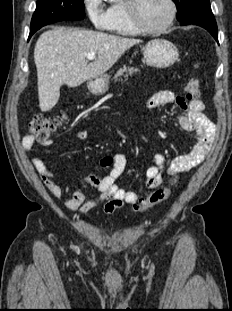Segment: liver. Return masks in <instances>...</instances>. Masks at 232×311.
Wrapping results in <instances>:
<instances>
[{
  "instance_id": "1",
  "label": "liver",
  "mask_w": 232,
  "mask_h": 311,
  "mask_svg": "<svg viewBox=\"0 0 232 311\" xmlns=\"http://www.w3.org/2000/svg\"><path fill=\"white\" fill-rule=\"evenodd\" d=\"M140 39L103 32L57 27L40 35L34 48L41 111L52 109L63 84L77 87L103 75ZM97 57L88 63L87 54Z\"/></svg>"
}]
</instances>
